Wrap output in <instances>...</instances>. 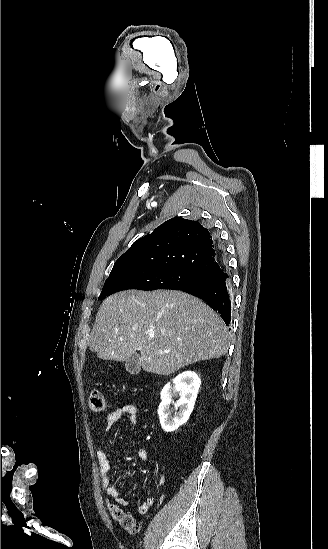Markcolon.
I'll return each mask as SVG.
<instances>
[{"instance_id": "5ec220e1", "label": "colon", "mask_w": 328, "mask_h": 549, "mask_svg": "<svg viewBox=\"0 0 328 549\" xmlns=\"http://www.w3.org/2000/svg\"><path fill=\"white\" fill-rule=\"evenodd\" d=\"M88 406L93 412H102L107 407V402L103 394L94 389L88 397ZM111 517L127 532L135 534L139 530L138 521L128 513H125L117 504L109 502L107 504Z\"/></svg>"}]
</instances>
